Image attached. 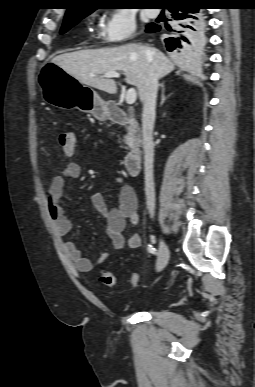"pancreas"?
Listing matches in <instances>:
<instances>
[{
  "mask_svg": "<svg viewBox=\"0 0 255 387\" xmlns=\"http://www.w3.org/2000/svg\"><path fill=\"white\" fill-rule=\"evenodd\" d=\"M125 143H126V144H129V140H128L127 138L125 139Z\"/></svg>",
  "mask_w": 255,
  "mask_h": 387,
  "instance_id": "obj_1",
  "label": "pancreas"
}]
</instances>
